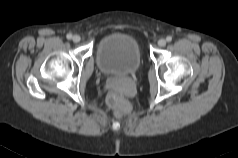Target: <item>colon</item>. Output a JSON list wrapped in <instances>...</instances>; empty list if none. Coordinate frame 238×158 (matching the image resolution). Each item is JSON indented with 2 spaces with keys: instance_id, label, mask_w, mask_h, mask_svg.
Instances as JSON below:
<instances>
[{
  "instance_id": "obj_1",
  "label": "colon",
  "mask_w": 238,
  "mask_h": 158,
  "mask_svg": "<svg viewBox=\"0 0 238 158\" xmlns=\"http://www.w3.org/2000/svg\"><path fill=\"white\" fill-rule=\"evenodd\" d=\"M107 101L113 108L116 116H121L129 110V104L118 92L112 91L109 93Z\"/></svg>"
}]
</instances>
